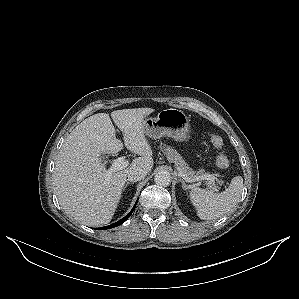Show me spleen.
Segmentation results:
<instances>
[{
  "label": "spleen",
  "mask_w": 299,
  "mask_h": 299,
  "mask_svg": "<svg viewBox=\"0 0 299 299\" xmlns=\"http://www.w3.org/2000/svg\"><path fill=\"white\" fill-rule=\"evenodd\" d=\"M242 190L243 178L236 176L231 180L229 187L221 193L195 187L190 191L189 197L200 219L213 220L236 206L241 198Z\"/></svg>",
  "instance_id": "1"
}]
</instances>
